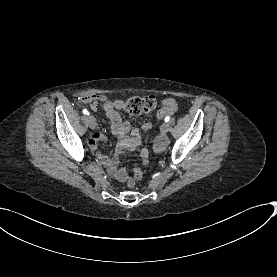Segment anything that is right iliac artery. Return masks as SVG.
I'll use <instances>...</instances> for the list:
<instances>
[{"instance_id":"obj_1","label":"right iliac artery","mask_w":277,"mask_h":277,"mask_svg":"<svg viewBox=\"0 0 277 277\" xmlns=\"http://www.w3.org/2000/svg\"><path fill=\"white\" fill-rule=\"evenodd\" d=\"M83 113H84L85 115H89V112H88L87 109H84V110H83Z\"/></svg>"}]
</instances>
